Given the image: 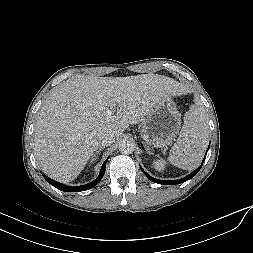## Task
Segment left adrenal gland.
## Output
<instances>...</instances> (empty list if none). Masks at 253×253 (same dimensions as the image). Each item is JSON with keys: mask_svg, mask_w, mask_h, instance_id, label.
<instances>
[{"mask_svg": "<svg viewBox=\"0 0 253 253\" xmlns=\"http://www.w3.org/2000/svg\"><path fill=\"white\" fill-rule=\"evenodd\" d=\"M145 150H146L148 153L150 152L148 148H145Z\"/></svg>", "mask_w": 253, "mask_h": 253, "instance_id": "left-adrenal-gland-1", "label": "left adrenal gland"}]
</instances>
